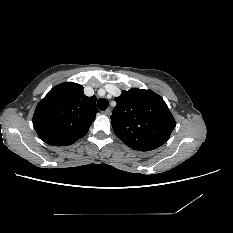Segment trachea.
<instances>
[{"label":"trachea","instance_id":"1","mask_svg":"<svg viewBox=\"0 0 233 233\" xmlns=\"http://www.w3.org/2000/svg\"><path fill=\"white\" fill-rule=\"evenodd\" d=\"M97 106H98V108H99L100 110L104 111V110H106V109L108 108L109 102H108V100L105 99V98H100V99H98V101H97Z\"/></svg>","mask_w":233,"mask_h":233}]
</instances>
